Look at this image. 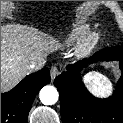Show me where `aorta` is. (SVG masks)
<instances>
[{"instance_id": "762f6f07", "label": "aorta", "mask_w": 123, "mask_h": 123, "mask_svg": "<svg viewBox=\"0 0 123 123\" xmlns=\"http://www.w3.org/2000/svg\"><path fill=\"white\" fill-rule=\"evenodd\" d=\"M40 100L45 105H53L58 101V91L54 86H44L39 93Z\"/></svg>"}]
</instances>
